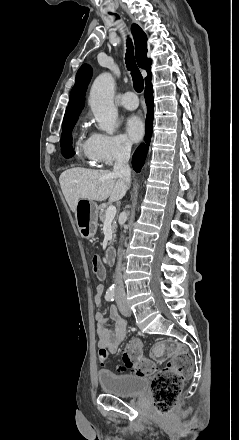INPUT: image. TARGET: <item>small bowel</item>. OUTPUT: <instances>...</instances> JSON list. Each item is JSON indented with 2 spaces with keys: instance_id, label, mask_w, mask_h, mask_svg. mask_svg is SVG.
I'll return each instance as SVG.
<instances>
[{
  "instance_id": "small-bowel-1",
  "label": "small bowel",
  "mask_w": 239,
  "mask_h": 440,
  "mask_svg": "<svg viewBox=\"0 0 239 440\" xmlns=\"http://www.w3.org/2000/svg\"><path fill=\"white\" fill-rule=\"evenodd\" d=\"M104 292L103 285H97L94 294V303L97 307L101 306ZM96 334L100 350L117 352L126 336V321L119 315L117 309L112 306L109 316L105 317L100 311L95 314ZM109 320L114 322V327L110 328Z\"/></svg>"
}]
</instances>
